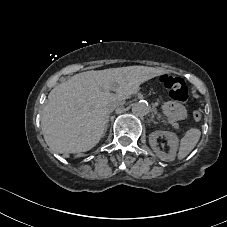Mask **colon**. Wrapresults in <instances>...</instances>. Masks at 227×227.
I'll list each match as a JSON object with an SVG mask.
<instances>
[{
	"instance_id": "1",
	"label": "colon",
	"mask_w": 227,
	"mask_h": 227,
	"mask_svg": "<svg viewBox=\"0 0 227 227\" xmlns=\"http://www.w3.org/2000/svg\"><path fill=\"white\" fill-rule=\"evenodd\" d=\"M160 81L168 88L170 95L174 100L183 103L188 99L189 91L181 78L165 74L160 77ZM191 115L195 121H199L202 118V112L197 108L192 110Z\"/></svg>"
}]
</instances>
